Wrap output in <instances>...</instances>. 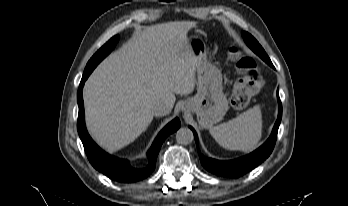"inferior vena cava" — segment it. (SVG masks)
I'll list each match as a JSON object with an SVG mask.
<instances>
[{"label": "inferior vena cava", "instance_id": "obj_1", "mask_svg": "<svg viewBox=\"0 0 348 206\" xmlns=\"http://www.w3.org/2000/svg\"><path fill=\"white\" fill-rule=\"evenodd\" d=\"M170 113V110L164 105H158L154 107L153 114L156 117H161Z\"/></svg>", "mask_w": 348, "mask_h": 206}]
</instances>
